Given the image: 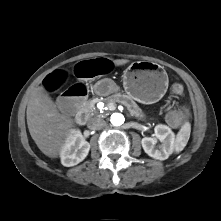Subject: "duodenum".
<instances>
[{
	"label": "duodenum",
	"mask_w": 221,
	"mask_h": 221,
	"mask_svg": "<svg viewBox=\"0 0 221 221\" xmlns=\"http://www.w3.org/2000/svg\"><path fill=\"white\" fill-rule=\"evenodd\" d=\"M88 115L84 109H80L76 114V121L79 124H85L87 122Z\"/></svg>",
	"instance_id": "duodenum-1"
}]
</instances>
